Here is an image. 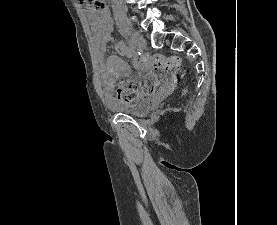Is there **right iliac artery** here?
<instances>
[{
    "label": "right iliac artery",
    "instance_id": "82829eb1",
    "mask_svg": "<svg viewBox=\"0 0 277 225\" xmlns=\"http://www.w3.org/2000/svg\"><path fill=\"white\" fill-rule=\"evenodd\" d=\"M129 48L131 49V50H135V48H136V46L134 45V43L130 40L129 41Z\"/></svg>",
    "mask_w": 277,
    "mask_h": 225
}]
</instances>
